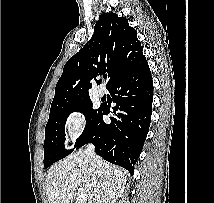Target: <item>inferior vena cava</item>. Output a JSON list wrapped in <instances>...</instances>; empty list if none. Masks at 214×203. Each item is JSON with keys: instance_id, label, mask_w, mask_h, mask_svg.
<instances>
[{"instance_id": "obj_1", "label": "inferior vena cava", "mask_w": 214, "mask_h": 203, "mask_svg": "<svg viewBox=\"0 0 214 203\" xmlns=\"http://www.w3.org/2000/svg\"><path fill=\"white\" fill-rule=\"evenodd\" d=\"M85 153L87 155V158L94 169L98 170L101 165L102 161L101 159L96 155L94 146L92 144L87 145V148L85 149Z\"/></svg>"}]
</instances>
